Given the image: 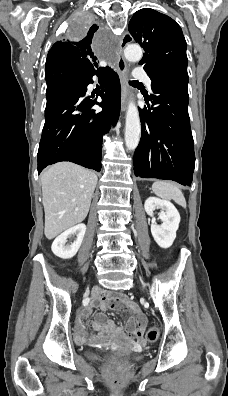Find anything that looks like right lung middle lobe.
<instances>
[{"mask_svg": "<svg viewBox=\"0 0 228 396\" xmlns=\"http://www.w3.org/2000/svg\"><path fill=\"white\" fill-rule=\"evenodd\" d=\"M90 22V18L84 14L76 17L72 24V33H74L75 35L83 34L87 30ZM45 76L47 83L46 97L48 100L52 98L62 88L72 83L77 77V74L71 71H58L46 73Z\"/></svg>", "mask_w": 228, "mask_h": 396, "instance_id": "obj_1", "label": "right lung middle lobe"}]
</instances>
